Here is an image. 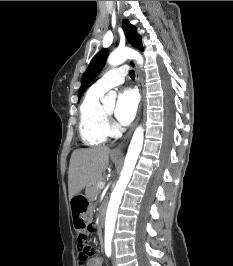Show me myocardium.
<instances>
[{
	"label": "myocardium",
	"instance_id": "1",
	"mask_svg": "<svg viewBox=\"0 0 233 266\" xmlns=\"http://www.w3.org/2000/svg\"><path fill=\"white\" fill-rule=\"evenodd\" d=\"M103 110L106 118L110 117L111 113H109L105 108H103Z\"/></svg>",
	"mask_w": 233,
	"mask_h": 266
}]
</instances>
